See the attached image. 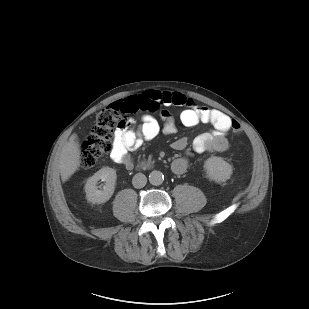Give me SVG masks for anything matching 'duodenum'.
<instances>
[{
	"mask_svg": "<svg viewBox=\"0 0 309 309\" xmlns=\"http://www.w3.org/2000/svg\"><path fill=\"white\" fill-rule=\"evenodd\" d=\"M141 166H143V167H144V166H146V164H145V163H141Z\"/></svg>",
	"mask_w": 309,
	"mask_h": 309,
	"instance_id": "obj_1",
	"label": "duodenum"
}]
</instances>
